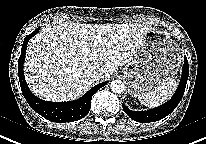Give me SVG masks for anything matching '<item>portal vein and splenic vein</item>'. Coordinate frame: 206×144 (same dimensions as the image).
Listing matches in <instances>:
<instances>
[{
  "mask_svg": "<svg viewBox=\"0 0 206 144\" xmlns=\"http://www.w3.org/2000/svg\"><path fill=\"white\" fill-rule=\"evenodd\" d=\"M99 42L101 43V42H102V40H101V39H99Z\"/></svg>",
  "mask_w": 206,
  "mask_h": 144,
  "instance_id": "obj_1",
  "label": "portal vein and splenic vein"
}]
</instances>
